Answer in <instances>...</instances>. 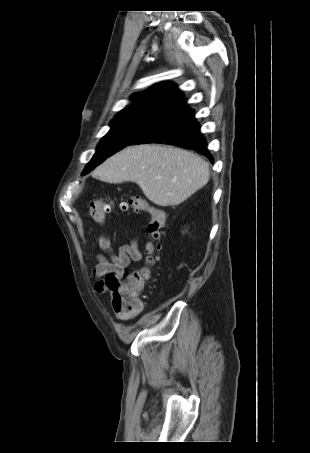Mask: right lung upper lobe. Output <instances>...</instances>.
Instances as JSON below:
<instances>
[{
	"mask_svg": "<svg viewBox=\"0 0 310 453\" xmlns=\"http://www.w3.org/2000/svg\"><path fill=\"white\" fill-rule=\"evenodd\" d=\"M183 93L170 82L155 85L148 90L132 95L134 100L120 111L118 116H150L159 117L174 104L184 99Z\"/></svg>",
	"mask_w": 310,
	"mask_h": 453,
	"instance_id": "obj_1",
	"label": "right lung upper lobe"
}]
</instances>
